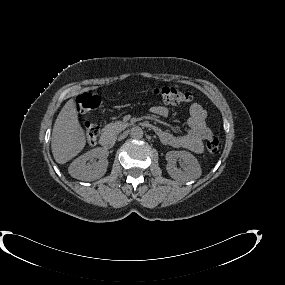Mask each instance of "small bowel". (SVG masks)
<instances>
[{
    "instance_id": "small-bowel-1",
    "label": "small bowel",
    "mask_w": 285,
    "mask_h": 285,
    "mask_svg": "<svg viewBox=\"0 0 285 285\" xmlns=\"http://www.w3.org/2000/svg\"><path fill=\"white\" fill-rule=\"evenodd\" d=\"M150 111L160 117H167L169 114L165 106H154ZM206 116V110L201 105L193 104L189 110V117L186 121L187 131L184 135H174L158 127H154V130L162 142L167 145L201 153L204 150V141L212 136L211 129L206 125Z\"/></svg>"
}]
</instances>
